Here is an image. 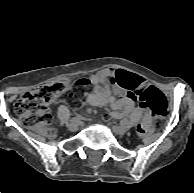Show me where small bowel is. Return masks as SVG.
<instances>
[{
    "mask_svg": "<svg viewBox=\"0 0 194 193\" xmlns=\"http://www.w3.org/2000/svg\"><path fill=\"white\" fill-rule=\"evenodd\" d=\"M117 71L114 69H105L89 77L93 88L87 94L84 105L104 106L109 105L112 111L104 116V120L118 119L130 115L133 119H150V113L146 109H139L134 106V101L129 96H117V88L113 86ZM152 86L144 79L137 81L138 89H145ZM154 87V86H153Z\"/></svg>",
    "mask_w": 194,
    "mask_h": 193,
    "instance_id": "obj_1",
    "label": "small bowel"
}]
</instances>
